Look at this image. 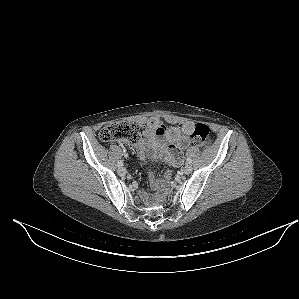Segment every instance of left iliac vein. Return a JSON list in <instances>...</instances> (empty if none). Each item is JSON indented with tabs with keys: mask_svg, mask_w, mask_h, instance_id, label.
<instances>
[{
	"mask_svg": "<svg viewBox=\"0 0 299 299\" xmlns=\"http://www.w3.org/2000/svg\"><path fill=\"white\" fill-rule=\"evenodd\" d=\"M183 172L185 174H190L192 172V166L190 164H186L185 167L183 168Z\"/></svg>",
	"mask_w": 299,
	"mask_h": 299,
	"instance_id": "1",
	"label": "left iliac vein"
}]
</instances>
